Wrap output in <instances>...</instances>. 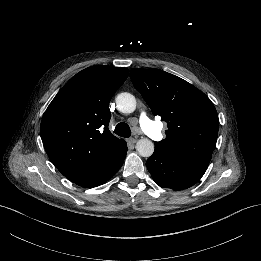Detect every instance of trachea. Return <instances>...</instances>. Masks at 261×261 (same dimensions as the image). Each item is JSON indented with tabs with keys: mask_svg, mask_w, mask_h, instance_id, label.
Here are the masks:
<instances>
[{
	"mask_svg": "<svg viewBox=\"0 0 261 261\" xmlns=\"http://www.w3.org/2000/svg\"><path fill=\"white\" fill-rule=\"evenodd\" d=\"M115 133L121 137L129 138L131 136V129L127 123H118L115 127Z\"/></svg>",
	"mask_w": 261,
	"mask_h": 261,
	"instance_id": "3493384b",
	"label": "trachea"
}]
</instances>
